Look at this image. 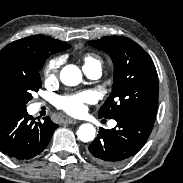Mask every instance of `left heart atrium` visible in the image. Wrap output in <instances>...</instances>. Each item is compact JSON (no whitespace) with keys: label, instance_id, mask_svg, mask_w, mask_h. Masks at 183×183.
Listing matches in <instances>:
<instances>
[{"label":"left heart atrium","instance_id":"39dd6f15","mask_svg":"<svg viewBox=\"0 0 183 183\" xmlns=\"http://www.w3.org/2000/svg\"><path fill=\"white\" fill-rule=\"evenodd\" d=\"M95 95L91 91H83L75 94L58 96L55 99L56 106L65 113L73 116L82 114L86 105L94 102Z\"/></svg>","mask_w":183,"mask_h":183}]
</instances>
